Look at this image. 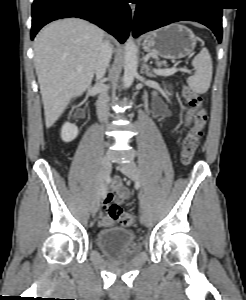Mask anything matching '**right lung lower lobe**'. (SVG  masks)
I'll use <instances>...</instances> for the list:
<instances>
[{"mask_svg":"<svg viewBox=\"0 0 246 300\" xmlns=\"http://www.w3.org/2000/svg\"><path fill=\"white\" fill-rule=\"evenodd\" d=\"M67 17L88 20L123 43L129 34L131 13L127 0H34L31 39L47 23Z\"/></svg>","mask_w":246,"mask_h":300,"instance_id":"98d812e1","label":"right lung lower lobe"}]
</instances>
